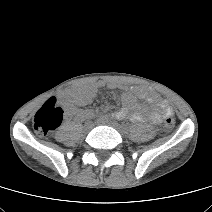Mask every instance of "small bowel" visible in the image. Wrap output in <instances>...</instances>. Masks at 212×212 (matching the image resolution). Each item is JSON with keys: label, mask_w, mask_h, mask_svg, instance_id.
I'll use <instances>...</instances> for the list:
<instances>
[{"label": "small bowel", "mask_w": 212, "mask_h": 212, "mask_svg": "<svg viewBox=\"0 0 212 212\" xmlns=\"http://www.w3.org/2000/svg\"><path fill=\"white\" fill-rule=\"evenodd\" d=\"M107 88L110 90L123 89L121 96L122 107L113 113L116 119L129 118L133 122L149 121L153 124H159L163 117L171 116L173 110L168 102L162 99L156 93L145 89H126L117 85L115 82L97 81L76 86L66 91L61 96V103L64 107L66 119L74 118L83 120L89 117L92 112L84 109L95 98L98 90ZM145 99L148 103L158 106L160 113L149 112L138 103V99Z\"/></svg>", "instance_id": "1"}]
</instances>
